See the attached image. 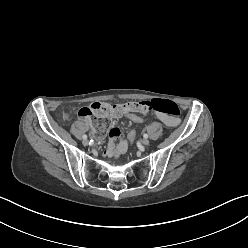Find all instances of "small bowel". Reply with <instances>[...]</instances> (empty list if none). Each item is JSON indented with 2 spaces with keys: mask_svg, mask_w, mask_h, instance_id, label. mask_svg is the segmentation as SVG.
Wrapping results in <instances>:
<instances>
[{
  "mask_svg": "<svg viewBox=\"0 0 248 248\" xmlns=\"http://www.w3.org/2000/svg\"><path fill=\"white\" fill-rule=\"evenodd\" d=\"M119 106L122 107V104H119ZM125 111L133 112L131 110L122 109V112L119 115L113 116L112 118L125 117L124 116ZM156 116L162 123H164L167 126L173 127V126H176V125L179 124V119L178 118L171 117V116H169V115H167L165 113L157 112ZM125 118H127V117H125ZM128 120H130V119H128ZM131 131L135 132L134 130H131ZM107 137L110 140L109 144H108V147L106 149V152H105V154H106V156L108 158L117 159L122 154H124L126 152V150H127V141L124 138H122L121 131H120V129L118 127L113 126L112 128L108 129Z\"/></svg>",
  "mask_w": 248,
  "mask_h": 248,
  "instance_id": "1",
  "label": "small bowel"
}]
</instances>
